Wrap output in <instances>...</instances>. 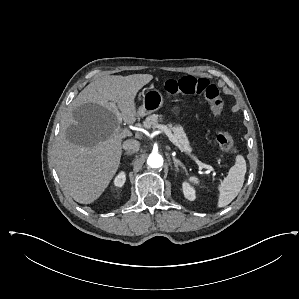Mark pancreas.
I'll list each match as a JSON object with an SVG mask.
<instances>
[{"label":"pancreas","instance_id":"obj_1","mask_svg":"<svg viewBox=\"0 0 299 299\" xmlns=\"http://www.w3.org/2000/svg\"><path fill=\"white\" fill-rule=\"evenodd\" d=\"M162 119L163 118L161 115L158 114L150 115L143 122V126L148 129L157 128V125H159V122L162 121ZM167 128L173 132V135L177 139L182 150L186 152H190L191 147L189 145V141L186 136V133L184 132L183 127L178 124L173 125L172 123H169Z\"/></svg>","mask_w":299,"mask_h":299}]
</instances>
